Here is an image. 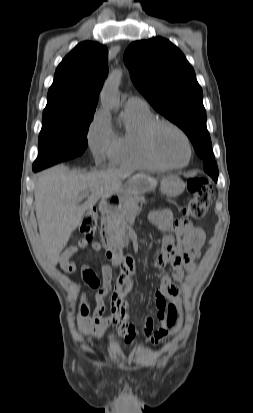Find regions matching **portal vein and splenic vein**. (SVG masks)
Wrapping results in <instances>:
<instances>
[{
  "label": "portal vein and splenic vein",
  "mask_w": 253,
  "mask_h": 413,
  "mask_svg": "<svg viewBox=\"0 0 253 413\" xmlns=\"http://www.w3.org/2000/svg\"><path fill=\"white\" fill-rule=\"evenodd\" d=\"M88 195H89V192H84V193L81 194V197H86Z\"/></svg>",
  "instance_id": "18ae733b"
}]
</instances>
